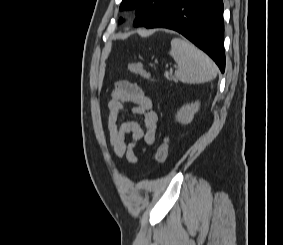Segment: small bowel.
I'll use <instances>...</instances> for the list:
<instances>
[{"label": "small bowel", "instance_id": "c3829d8e", "mask_svg": "<svg viewBox=\"0 0 283 245\" xmlns=\"http://www.w3.org/2000/svg\"><path fill=\"white\" fill-rule=\"evenodd\" d=\"M127 104H133L132 114L142 117V122H118L119 114L125 110ZM108 131L114 153L120 159L136 164L138 156L135 152L139 141L143 140L146 146L154 144L157 136L158 115L153 110L150 97L136 83L120 80L116 82L108 103ZM131 140L126 141V135Z\"/></svg>", "mask_w": 283, "mask_h": 245}]
</instances>
